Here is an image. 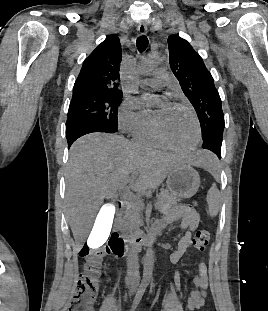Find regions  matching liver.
Wrapping results in <instances>:
<instances>
[{"label":"liver","instance_id":"obj_1","mask_svg":"<svg viewBox=\"0 0 268 311\" xmlns=\"http://www.w3.org/2000/svg\"><path fill=\"white\" fill-rule=\"evenodd\" d=\"M213 156L197 151L188 158L137 146L116 134L91 133L70 148L66 172V207L78 249L88 238L105 199L116 197L129 178L135 192L158 187L176 166L206 167ZM112 213V212H111Z\"/></svg>","mask_w":268,"mask_h":311}]
</instances>
